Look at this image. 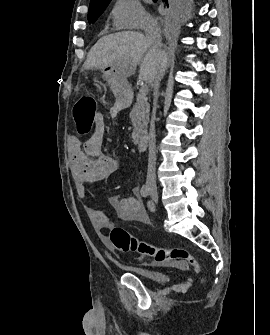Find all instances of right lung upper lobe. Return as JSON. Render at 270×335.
Masks as SVG:
<instances>
[{"label":"right lung upper lobe","mask_w":270,"mask_h":335,"mask_svg":"<svg viewBox=\"0 0 270 335\" xmlns=\"http://www.w3.org/2000/svg\"><path fill=\"white\" fill-rule=\"evenodd\" d=\"M111 0H90V6L99 4H109Z\"/></svg>","instance_id":"1"}]
</instances>
